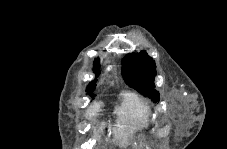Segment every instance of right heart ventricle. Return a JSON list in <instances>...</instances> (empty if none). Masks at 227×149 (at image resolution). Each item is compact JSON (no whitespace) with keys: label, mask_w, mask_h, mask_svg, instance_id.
I'll use <instances>...</instances> for the list:
<instances>
[{"label":"right heart ventricle","mask_w":227,"mask_h":149,"mask_svg":"<svg viewBox=\"0 0 227 149\" xmlns=\"http://www.w3.org/2000/svg\"><path fill=\"white\" fill-rule=\"evenodd\" d=\"M115 132L122 144L138 132L148 130L153 124L150 107L136 94L125 93L115 109Z\"/></svg>","instance_id":"obj_1"}]
</instances>
